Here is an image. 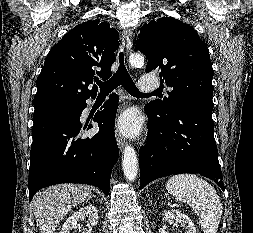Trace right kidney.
<instances>
[{"label": "right kidney", "mask_w": 253, "mask_h": 233, "mask_svg": "<svg viewBox=\"0 0 253 233\" xmlns=\"http://www.w3.org/2000/svg\"><path fill=\"white\" fill-rule=\"evenodd\" d=\"M79 218H87V226L92 227L98 224V213L94 205L90 204L79 209L70 216L63 224L60 233H70L77 228Z\"/></svg>", "instance_id": "1"}]
</instances>
